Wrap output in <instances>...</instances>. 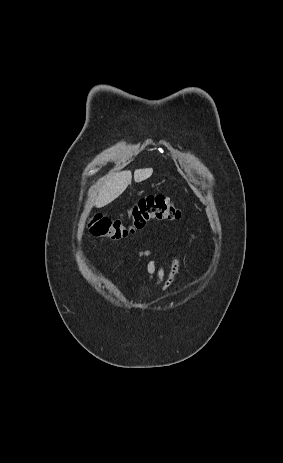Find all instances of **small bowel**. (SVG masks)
Segmentation results:
<instances>
[{
    "label": "small bowel",
    "mask_w": 283,
    "mask_h": 463,
    "mask_svg": "<svg viewBox=\"0 0 283 463\" xmlns=\"http://www.w3.org/2000/svg\"><path fill=\"white\" fill-rule=\"evenodd\" d=\"M152 252L149 250L139 252V257L149 258ZM180 271V261L174 257L171 261L169 271L164 266H158L153 260L147 265V273L144 277L145 283H151L152 286L147 289L152 293L157 290L166 291L175 282Z\"/></svg>",
    "instance_id": "small-bowel-1"
}]
</instances>
